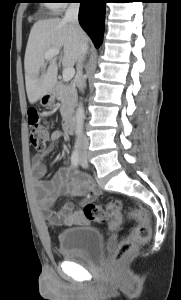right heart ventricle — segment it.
<instances>
[{"mask_svg": "<svg viewBox=\"0 0 181 300\" xmlns=\"http://www.w3.org/2000/svg\"><path fill=\"white\" fill-rule=\"evenodd\" d=\"M49 8L53 11H57L56 7L54 6V4H48Z\"/></svg>", "mask_w": 181, "mask_h": 300, "instance_id": "obj_1", "label": "right heart ventricle"}]
</instances>
